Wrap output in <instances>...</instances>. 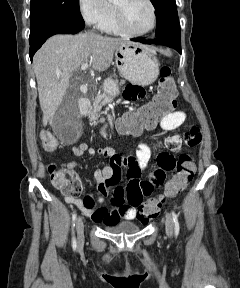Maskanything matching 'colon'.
Instances as JSON below:
<instances>
[{"label": "colon", "instance_id": "obj_1", "mask_svg": "<svg viewBox=\"0 0 240 288\" xmlns=\"http://www.w3.org/2000/svg\"><path fill=\"white\" fill-rule=\"evenodd\" d=\"M177 88L171 70L165 66L160 71L157 90L153 98L133 112H129L120 120L119 127L124 132L152 128L176 107ZM41 143L47 152L57 149L55 137L48 132L41 136ZM176 173L167 183L162 194L147 201H143L137 191L131 190L127 195V202L135 208L136 217L141 222H148L155 218L164 202L185 190L194 177L195 163L188 154H182L176 163ZM52 184L65 195L77 197L82 190L80 179L65 169L56 165L48 167Z\"/></svg>", "mask_w": 240, "mask_h": 288}]
</instances>
